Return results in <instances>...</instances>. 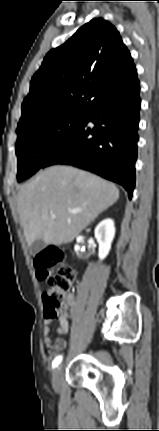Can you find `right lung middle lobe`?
Returning a JSON list of instances; mask_svg holds the SVG:
<instances>
[{
  "mask_svg": "<svg viewBox=\"0 0 159 431\" xmlns=\"http://www.w3.org/2000/svg\"><path fill=\"white\" fill-rule=\"evenodd\" d=\"M87 114L61 112L17 130L18 182L42 168L46 158L82 124Z\"/></svg>",
  "mask_w": 159,
  "mask_h": 431,
  "instance_id": "1",
  "label": "right lung middle lobe"
}]
</instances>
